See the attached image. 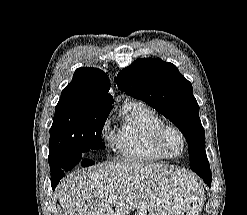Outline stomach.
<instances>
[{
	"label": "stomach",
	"instance_id": "0dacf381",
	"mask_svg": "<svg viewBox=\"0 0 247 215\" xmlns=\"http://www.w3.org/2000/svg\"><path fill=\"white\" fill-rule=\"evenodd\" d=\"M204 190L192 176L167 180L138 208L137 215H199Z\"/></svg>",
	"mask_w": 247,
	"mask_h": 215
}]
</instances>
